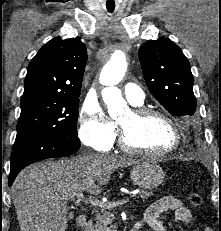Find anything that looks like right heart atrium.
Returning <instances> with one entry per match:
<instances>
[{"instance_id":"d8ad5b80","label":"right heart atrium","mask_w":221,"mask_h":231,"mask_svg":"<svg viewBox=\"0 0 221 231\" xmlns=\"http://www.w3.org/2000/svg\"><path fill=\"white\" fill-rule=\"evenodd\" d=\"M78 133L84 145L95 150H106L112 146L117 128L101 104L88 98L80 111Z\"/></svg>"}]
</instances>
